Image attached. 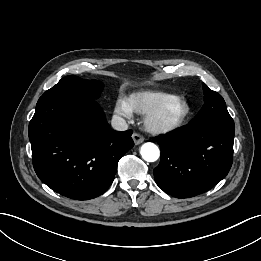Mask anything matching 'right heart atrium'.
Instances as JSON below:
<instances>
[{"label": "right heart atrium", "mask_w": 261, "mask_h": 261, "mask_svg": "<svg viewBox=\"0 0 261 261\" xmlns=\"http://www.w3.org/2000/svg\"><path fill=\"white\" fill-rule=\"evenodd\" d=\"M115 114L121 118L129 119L132 117L133 110L129 104L128 99L119 96L115 103Z\"/></svg>", "instance_id": "1"}]
</instances>
